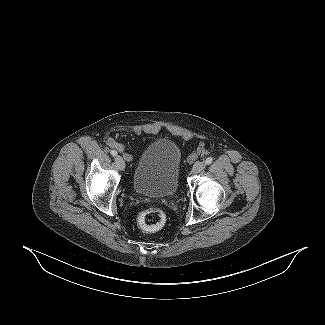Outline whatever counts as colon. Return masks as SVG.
<instances>
[{
    "label": "colon",
    "mask_w": 325,
    "mask_h": 325,
    "mask_svg": "<svg viewBox=\"0 0 325 325\" xmlns=\"http://www.w3.org/2000/svg\"><path fill=\"white\" fill-rule=\"evenodd\" d=\"M165 214L162 210L151 208L142 213L139 217V225L145 231H156L164 226Z\"/></svg>",
    "instance_id": "obj_1"
}]
</instances>
